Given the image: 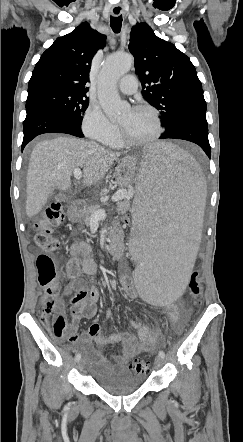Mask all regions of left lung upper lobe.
<instances>
[{"label": "left lung upper lobe", "instance_id": "5c2ea615", "mask_svg": "<svg viewBox=\"0 0 243 442\" xmlns=\"http://www.w3.org/2000/svg\"><path fill=\"white\" fill-rule=\"evenodd\" d=\"M129 51L135 59L143 96L160 111L163 126L181 107L205 102L190 59L172 43L157 37L146 23L132 28Z\"/></svg>", "mask_w": 243, "mask_h": 442}]
</instances>
